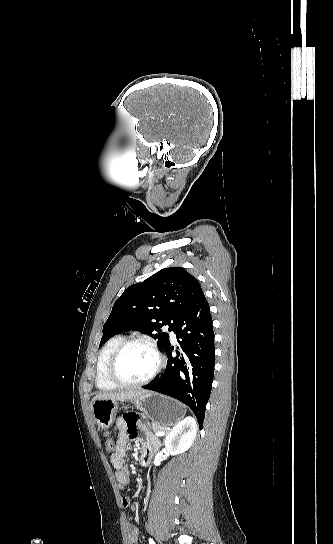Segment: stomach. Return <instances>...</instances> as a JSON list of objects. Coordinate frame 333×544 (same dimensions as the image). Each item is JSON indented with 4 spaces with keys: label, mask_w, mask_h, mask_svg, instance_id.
<instances>
[{
    "label": "stomach",
    "mask_w": 333,
    "mask_h": 544,
    "mask_svg": "<svg viewBox=\"0 0 333 544\" xmlns=\"http://www.w3.org/2000/svg\"><path fill=\"white\" fill-rule=\"evenodd\" d=\"M137 409L144 412L154 423L163 427L175 425L186 413L185 407L166 396L148 392L132 400ZM118 400L98 399L92 403V412L99 428L109 429L115 420Z\"/></svg>",
    "instance_id": "obj_1"
}]
</instances>
